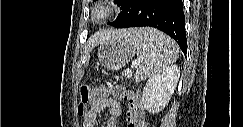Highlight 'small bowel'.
Masks as SVG:
<instances>
[{"mask_svg": "<svg viewBox=\"0 0 243 127\" xmlns=\"http://www.w3.org/2000/svg\"><path fill=\"white\" fill-rule=\"evenodd\" d=\"M105 109L108 113L105 126L117 127L118 120L122 112V107L119 101L113 100L110 97H106L91 104L90 109L85 114L83 126L94 127L97 122L98 114Z\"/></svg>", "mask_w": 243, "mask_h": 127, "instance_id": "1", "label": "small bowel"}]
</instances>
